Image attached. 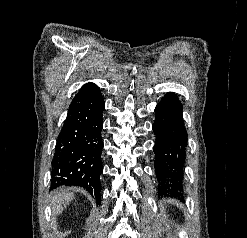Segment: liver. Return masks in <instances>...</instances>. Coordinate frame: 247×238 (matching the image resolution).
Here are the masks:
<instances>
[{"label":"liver","instance_id":"1","mask_svg":"<svg viewBox=\"0 0 247 238\" xmlns=\"http://www.w3.org/2000/svg\"><path fill=\"white\" fill-rule=\"evenodd\" d=\"M74 199V194L71 189H58L54 191L51 198L53 215H59L64 208Z\"/></svg>","mask_w":247,"mask_h":238}]
</instances>
